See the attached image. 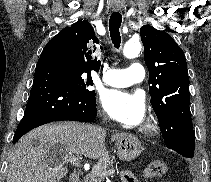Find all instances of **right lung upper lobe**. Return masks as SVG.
<instances>
[{"label":"right lung upper lobe","instance_id":"right-lung-upper-lobe-1","mask_svg":"<svg viewBox=\"0 0 211 182\" xmlns=\"http://www.w3.org/2000/svg\"><path fill=\"white\" fill-rule=\"evenodd\" d=\"M45 47L52 48L65 63L88 73H91V70L97 72L100 69V61L92 56L99 47V40L86 20L65 27Z\"/></svg>","mask_w":211,"mask_h":182}]
</instances>
